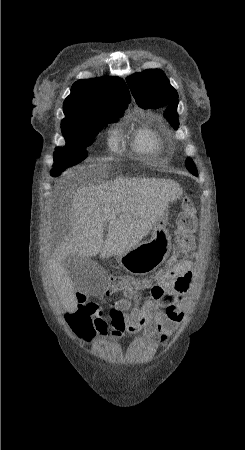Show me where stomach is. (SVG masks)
<instances>
[{
  "label": "stomach",
  "mask_w": 245,
  "mask_h": 450,
  "mask_svg": "<svg viewBox=\"0 0 245 450\" xmlns=\"http://www.w3.org/2000/svg\"><path fill=\"white\" fill-rule=\"evenodd\" d=\"M168 215L166 209L156 222L150 240L116 257L118 264L127 272L136 275L148 274L166 261L171 251V237L166 230Z\"/></svg>",
  "instance_id": "obj_1"
}]
</instances>
